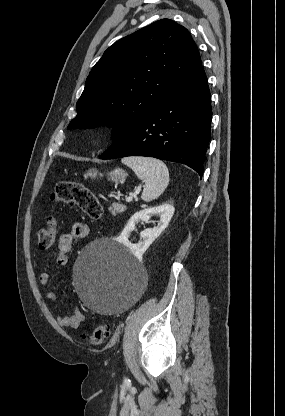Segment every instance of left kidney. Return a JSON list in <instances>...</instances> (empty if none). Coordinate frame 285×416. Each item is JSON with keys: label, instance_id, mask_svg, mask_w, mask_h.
Returning <instances> with one entry per match:
<instances>
[{"label": "left kidney", "instance_id": "1", "mask_svg": "<svg viewBox=\"0 0 285 416\" xmlns=\"http://www.w3.org/2000/svg\"><path fill=\"white\" fill-rule=\"evenodd\" d=\"M174 212V206H171V204H162V206H157V208H146V210L136 212V214L130 218L123 232H121L119 242L124 244L126 248H129L134 256L141 258L144 252L151 246L152 242H154V240L162 234L163 230L167 228ZM156 214H159L160 216L158 226H156V228H147V230H143L140 234L142 242H139V244H131V242H129V236L131 232L135 230L137 222H140V220H142V222H149L151 216H156Z\"/></svg>", "mask_w": 285, "mask_h": 416}]
</instances>
